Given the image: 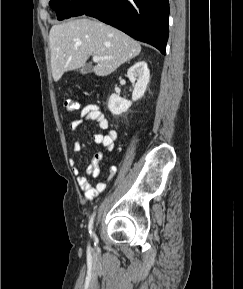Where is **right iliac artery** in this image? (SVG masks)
<instances>
[{
    "label": "right iliac artery",
    "instance_id": "obj_1",
    "mask_svg": "<svg viewBox=\"0 0 243 289\" xmlns=\"http://www.w3.org/2000/svg\"><path fill=\"white\" fill-rule=\"evenodd\" d=\"M94 216H95V213L92 215L91 219H90V222H89V233L90 235L93 234V221H94Z\"/></svg>",
    "mask_w": 243,
    "mask_h": 289
}]
</instances>
